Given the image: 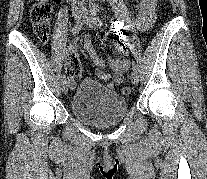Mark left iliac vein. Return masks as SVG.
Returning a JSON list of instances; mask_svg holds the SVG:
<instances>
[{"instance_id":"4c4485c4","label":"left iliac vein","mask_w":207,"mask_h":179,"mask_svg":"<svg viewBox=\"0 0 207 179\" xmlns=\"http://www.w3.org/2000/svg\"><path fill=\"white\" fill-rule=\"evenodd\" d=\"M83 15H84V18H85L84 24L91 26V24L94 23L96 15H93L92 17H89L87 12H85V11L83 12ZM131 81L135 85L139 83V75H138L137 70L132 72V74H131Z\"/></svg>"}]
</instances>
